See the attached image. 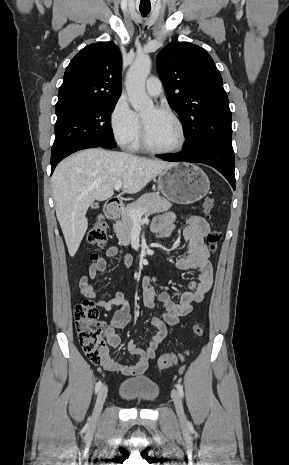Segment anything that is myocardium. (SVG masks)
I'll return each mask as SVG.
<instances>
[{
  "instance_id": "1",
  "label": "myocardium",
  "mask_w": 289,
  "mask_h": 465,
  "mask_svg": "<svg viewBox=\"0 0 289 465\" xmlns=\"http://www.w3.org/2000/svg\"><path fill=\"white\" fill-rule=\"evenodd\" d=\"M155 109L167 114L169 117H171L173 119V121L176 123V125H177V127L179 129L180 141L175 147L168 148V149H162V148H158V147L153 146L148 140L146 129H145L144 123L142 121V130H141V145H142V147L146 151H148L150 153L159 154V155H168V154H174V153L180 152L184 148V146H185V144L187 142V133H186V129H185V126H184L181 118L177 115L176 112H174L171 108H169L167 106H159V107H156Z\"/></svg>"
}]
</instances>
